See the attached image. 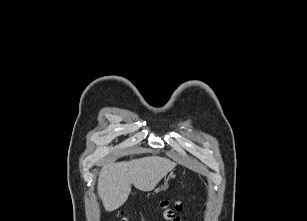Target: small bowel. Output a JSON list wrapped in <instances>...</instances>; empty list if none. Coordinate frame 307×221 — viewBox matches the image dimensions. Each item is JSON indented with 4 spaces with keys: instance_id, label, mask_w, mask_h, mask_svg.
Listing matches in <instances>:
<instances>
[{
    "instance_id": "c3829d8e",
    "label": "small bowel",
    "mask_w": 307,
    "mask_h": 221,
    "mask_svg": "<svg viewBox=\"0 0 307 221\" xmlns=\"http://www.w3.org/2000/svg\"><path fill=\"white\" fill-rule=\"evenodd\" d=\"M171 221H182L181 217L180 216H175L173 215L171 218H170Z\"/></svg>"
}]
</instances>
